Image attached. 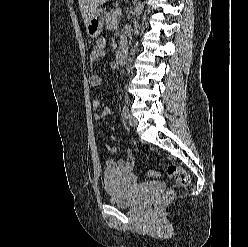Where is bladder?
Returning a JSON list of instances; mask_svg holds the SVG:
<instances>
[{
    "mask_svg": "<svg viewBox=\"0 0 248 247\" xmlns=\"http://www.w3.org/2000/svg\"><path fill=\"white\" fill-rule=\"evenodd\" d=\"M103 182L112 205L131 207L141 198L137 195L138 183L129 169L120 166L106 169L103 172Z\"/></svg>",
    "mask_w": 248,
    "mask_h": 247,
    "instance_id": "bladder-1",
    "label": "bladder"
}]
</instances>
